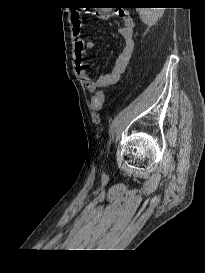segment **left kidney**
<instances>
[{"mask_svg":"<svg viewBox=\"0 0 205 273\" xmlns=\"http://www.w3.org/2000/svg\"><path fill=\"white\" fill-rule=\"evenodd\" d=\"M141 21L149 27L155 25L164 13L162 8H137Z\"/></svg>","mask_w":205,"mask_h":273,"instance_id":"left-kidney-1","label":"left kidney"}]
</instances>
